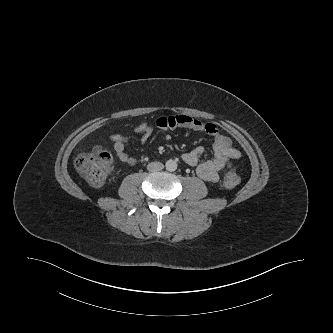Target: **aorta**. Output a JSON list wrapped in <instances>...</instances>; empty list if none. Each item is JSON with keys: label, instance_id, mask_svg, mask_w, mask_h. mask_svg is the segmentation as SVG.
Returning <instances> with one entry per match:
<instances>
[{"label": "aorta", "instance_id": "aorta-1", "mask_svg": "<svg viewBox=\"0 0 333 333\" xmlns=\"http://www.w3.org/2000/svg\"><path fill=\"white\" fill-rule=\"evenodd\" d=\"M166 169H167V171H170V172L175 171L177 169V163H176V161L171 160V159L168 160L166 162Z\"/></svg>", "mask_w": 333, "mask_h": 333}]
</instances>
